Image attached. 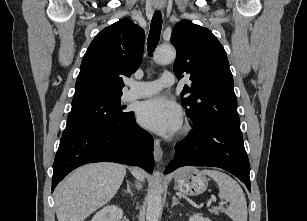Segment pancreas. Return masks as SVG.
Returning a JSON list of instances; mask_svg holds the SVG:
<instances>
[{
  "mask_svg": "<svg viewBox=\"0 0 307 221\" xmlns=\"http://www.w3.org/2000/svg\"><path fill=\"white\" fill-rule=\"evenodd\" d=\"M223 210L222 207H215L210 210L211 213L218 215Z\"/></svg>",
  "mask_w": 307,
  "mask_h": 221,
  "instance_id": "obj_1",
  "label": "pancreas"
}]
</instances>
